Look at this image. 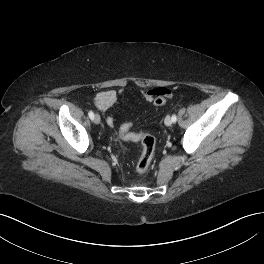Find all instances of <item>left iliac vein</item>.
Instances as JSON below:
<instances>
[{
    "label": "left iliac vein",
    "mask_w": 264,
    "mask_h": 264,
    "mask_svg": "<svg viewBox=\"0 0 264 264\" xmlns=\"http://www.w3.org/2000/svg\"><path fill=\"white\" fill-rule=\"evenodd\" d=\"M165 125L166 126H171L172 125V119H171V117L170 116H167L166 118H165Z\"/></svg>",
    "instance_id": "left-iliac-vein-1"
}]
</instances>
